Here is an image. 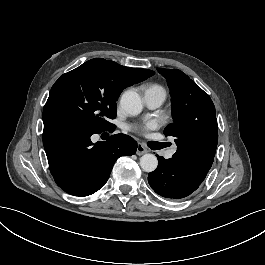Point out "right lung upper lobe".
Returning a JSON list of instances; mask_svg holds the SVG:
<instances>
[{"instance_id": "1", "label": "right lung upper lobe", "mask_w": 265, "mask_h": 265, "mask_svg": "<svg viewBox=\"0 0 265 265\" xmlns=\"http://www.w3.org/2000/svg\"><path fill=\"white\" fill-rule=\"evenodd\" d=\"M108 62L111 68L125 79L128 86L141 82L154 74L152 70L129 68L121 66L113 61Z\"/></svg>"}]
</instances>
